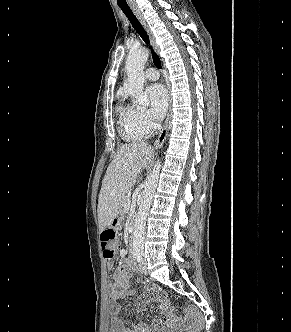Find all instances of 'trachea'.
I'll list each match as a JSON object with an SVG mask.
<instances>
[{"mask_svg": "<svg viewBox=\"0 0 291 332\" xmlns=\"http://www.w3.org/2000/svg\"><path fill=\"white\" fill-rule=\"evenodd\" d=\"M118 6L121 8V10L123 11V13L127 16V18L129 19V21L131 22L133 28L141 36V38L143 39V41L148 44L149 43V36L147 35L145 29L140 24V22L138 21V19L136 18V16L133 14V12L131 11V9L129 8L128 4L126 2H123V3H118ZM152 58H153L154 65L158 69H161L162 66H161L160 58L158 57V55L154 51H152Z\"/></svg>", "mask_w": 291, "mask_h": 332, "instance_id": "trachea-1", "label": "trachea"}]
</instances>
